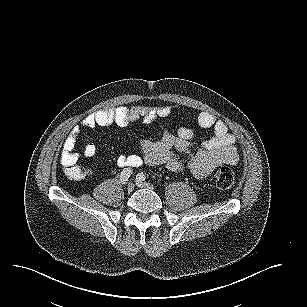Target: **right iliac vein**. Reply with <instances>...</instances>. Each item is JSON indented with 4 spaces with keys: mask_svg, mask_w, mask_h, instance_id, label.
Listing matches in <instances>:
<instances>
[{
    "mask_svg": "<svg viewBox=\"0 0 307 307\" xmlns=\"http://www.w3.org/2000/svg\"><path fill=\"white\" fill-rule=\"evenodd\" d=\"M134 187H135V184L134 183H129L128 185H127V191L128 192H132L133 190H134Z\"/></svg>",
    "mask_w": 307,
    "mask_h": 307,
    "instance_id": "right-iliac-vein-1",
    "label": "right iliac vein"
}]
</instances>
